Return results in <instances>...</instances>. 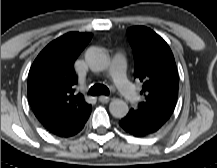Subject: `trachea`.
<instances>
[{
	"instance_id": "3493384b",
	"label": "trachea",
	"mask_w": 217,
	"mask_h": 168,
	"mask_svg": "<svg viewBox=\"0 0 217 168\" xmlns=\"http://www.w3.org/2000/svg\"><path fill=\"white\" fill-rule=\"evenodd\" d=\"M89 94L92 96L109 95V89L102 84H95L89 89Z\"/></svg>"
}]
</instances>
